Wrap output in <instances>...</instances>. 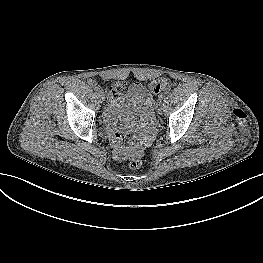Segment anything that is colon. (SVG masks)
<instances>
[{"label":"colon","instance_id":"5ec220e1","mask_svg":"<svg viewBox=\"0 0 263 263\" xmlns=\"http://www.w3.org/2000/svg\"><path fill=\"white\" fill-rule=\"evenodd\" d=\"M153 89L155 92H159L161 91L163 88L166 87V83L163 81H155L152 85ZM140 98V102L143 104H147V112L151 113V106L148 103V101L144 100L142 97L138 96ZM111 114L113 113L112 111L110 112ZM114 119V118H113ZM108 130L112 133L111 135V141L113 144H119L120 142H122L124 140V135L118 133V132H114L112 131V129L110 128V125L108 126ZM143 164V160H142V153H137L135 155V157H132L130 162H129V166L132 169H138L142 166Z\"/></svg>","mask_w":263,"mask_h":263}]
</instances>
